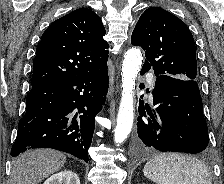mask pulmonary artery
Listing matches in <instances>:
<instances>
[{"instance_id":"e3ab8cb5","label":"pulmonary artery","mask_w":224,"mask_h":184,"mask_svg":"<svg viewBox=\"0 0 224 184\" xmlns=\"http://www.w3.org/2000/svg\"><path fill=\"white\" fill-rule=\"evenodd\" d=\"M153 87H154V84H153V83H150V84H149V88L152 90Z\"/></svg>"}]
</instances>
